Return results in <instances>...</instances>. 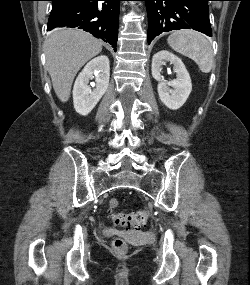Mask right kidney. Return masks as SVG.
<instances>
[{"label":"right kidney","instance_id":"ca27d5eb","mask_svg":"<svg viewBox=\"0 0 250 285\" xmlns=\"http://www.w3.org/2000/svg\"><path fill=\"white\" fill-rule=\"evenodd\" d=\"M94 75L95 82L91 89L88 84ZM109 79L110 65L106 55H100L87 63L73 87V103L77 113L86 116L92 111L107 91Z\"/></svg>","mask_w":250,"mask_h":285}]
</instances>
